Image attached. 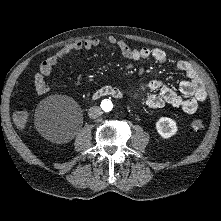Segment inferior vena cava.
I'll list each match as a JSON object with an SVG mask.
<instances>
[{
    "instance_id": "602c4592",
    "label": "inferior vena cava",
    "mask_w": 221,
    "mask_h": 221,
    "mask_svg": "<svg viewBox=\"0 0 221 221\" xmlns=\"http://www.w3.org/2000/svg\"><path fill=\"white\" fill-rule=\"evenodd\" d=\"M102 114V110L99 106H92L88 110V116L92 119L98 118Z\"/></svg>"
}]
</instances>
